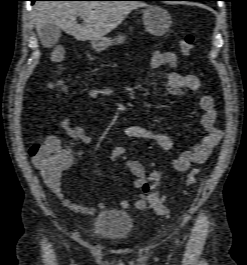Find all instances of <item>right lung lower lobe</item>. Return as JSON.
I'll return each instance as SVG.
<instances>
[{"mask_svg": "<svg viewBox=\"0 0 247 265\" xmlns=\"http://www.w3.org/2000/svg\"><path fill=\"white\" fill-rule=\"evenodd\" d=\"M32 3H34L35 1H38V0H30ZM139 1H143V0H139Z\"/></svg>", "mask_w": 247, "mask_h": 265, "instance_id": "98d812e1", "label": "right lung lower lobe"}]
</instances>
